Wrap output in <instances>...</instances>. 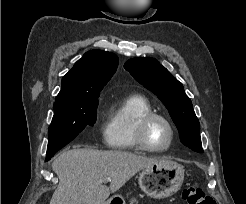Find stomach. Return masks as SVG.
Returning <instances> with one entry per match:
<instances>
[{"label": "stomach", "mask_w": 246, "mask_h": 204, "mask_svg": "<svg viewBox=\"0 0 246 204\" xmlns=\"http://www.w3.org/2000/svg\"><path fill=\"white\" fill-rule=\"evenodd\" d=\"M183 180V166L170 160H159L144 168L139 174V185L142 191L156 199L166 198L176 193ZM105 204H125V200L121 195H114Z\"/></svg>", "instance_id": "obj_1"}]
</instances>
